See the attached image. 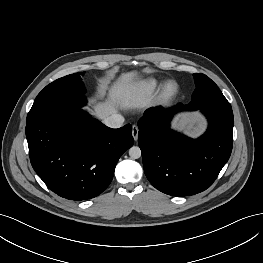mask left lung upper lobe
<instances>
[{"label": "left lung upper lobe", "instance_id": "5c2ea615", "mask_svg": "<svg viewBox=\"0 0 263 263\" xmlns=\"http://www.w3.org/2000/svg\"><path fill=\"white\" fill-rule=\"evenodd\" d=\"M196 89L192 101L187 105L190 109L200 107H231L220 89L209 77L201 73L194 74Z\"/></svg>", "mask_w": 263, "mask_h": 263}]
</instances>
